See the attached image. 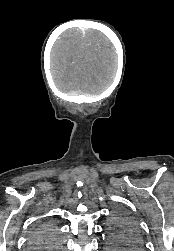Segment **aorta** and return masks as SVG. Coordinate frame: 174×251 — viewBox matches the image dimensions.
Instances as JSON below:
<instances>
[{
    "label": "aorta",
    "instance_id": "obj_1",
    "mask_svg": "<svg viewBox=\"0 0 174 251\" xmlns=\"http://www.w3.org/2000/svg\"><path fill=\"white\" fill-rule=\"evenodd\" d=\"M110 233L107 234L105 233V239L107 240L106 245H105V250L106 251H120V247L117 244H114L110 240Z\"/></svg>",
    "mask_w": 174,
    "mask_h": 251
}]
</instances>
